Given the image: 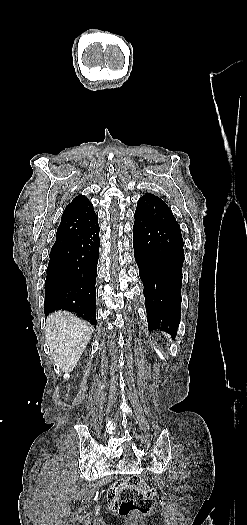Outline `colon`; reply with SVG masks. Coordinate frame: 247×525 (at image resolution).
I'll list each match as a JSON object with an SVG mask.
<instances>
[{"mask_svg":"<svg viewBox=\"0 0 247 525\" xmlns=\"http://www.w3.org/2000/svg\"><path fill=\"white\" fill-rule=\"evenodd\" d=\"M120 514L133 517L136 514H148L154 505L152 500L155 491L153 487L138 476H130L126 480V488L119 489Z\"/></svg>","mask_w":247,"mask_h":525,"instance_id":"colon-1","label":"colon"}]
</instances>
